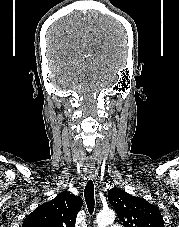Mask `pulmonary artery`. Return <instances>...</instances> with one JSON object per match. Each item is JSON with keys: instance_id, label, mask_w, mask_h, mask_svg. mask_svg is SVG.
I'll return each instance as SVG.
<instances>
[{"instance_id": "obj_1", "label": "pulmonary artery", "mask_w": 179, "mask_h": 227, "mask_svg": "<svg viewBox=\"0 0 179 227\" xmlns=\"http://www.w3.org/2000/svg\"><path fill=\"white\" fill-rule=\"evenodd\" d=\"M110 227H121V226L118 224H111Z\"/></svg>"}]
</instances>
